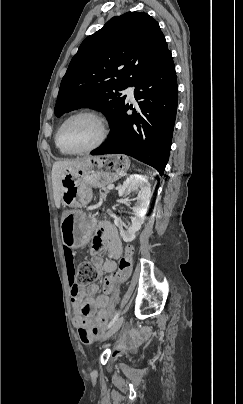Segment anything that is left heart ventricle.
Segmentation results:
<instances>
[{
  "label": "left heart ventricle",
  "mask_w": 243,
  "mask_h": 404,
  "mask_svg": "<svg viewBox=\"0 0 243 404\" xmlns=\"http://www.w3.org/2000/svg\"><path fill=\"white\" fill-rule=\"evenodd\" d=\"M100 136V122L93 116L80 115L65 124L61 131V142L66 148L84 149L94 145Z\"/></svg>",
  "instance_id": "1"
}]
</instances>
